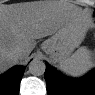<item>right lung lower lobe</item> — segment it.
<instances>
[{
    "label": "right lung lower lobe",
    "instance_id": "98d812e1",
    "mask_svg": "<svg viewBox=\"0 0 95 95\" xmlns=\"http://www.w3.org/2000/svg\"><path fill=\"white\" fill-rule=\"evenodd\" d=\"M24 71V67L15 66L6 74L1 76L0 83L6 88L9 94H16L19 92L20 81L24 74Z\"/></svg>",
    "mask_w": 95,
    "mask_h": 95
}]
</instances>
